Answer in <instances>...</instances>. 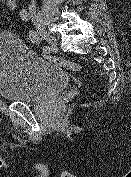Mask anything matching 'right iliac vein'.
<instances>
[{
	"mask_svg": "<svg viewBox=\"0 0 131 177\" xmlns=\"http://www.w3.org/2000/svg\"><path fill=\"white\" fill-rule=\"evenodd\" d=\"M30 16L33 21V23L36 25V27L39 29L40 35L44 41H46L51 46H56L57 40L54 36L47 33L42 25H41V16L37 13L35 9L30 10Z\"/></svg>",
	"mask_w": 131,
	"mask_h": 177,
	"instance_id": "63e3f726",
	"label": "right iliac vein"
}]
</instances>
